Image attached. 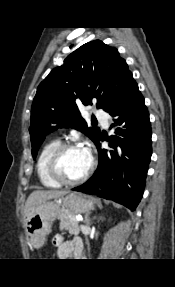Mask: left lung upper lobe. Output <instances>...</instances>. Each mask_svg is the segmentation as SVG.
I'll return each mask as SVG.
<instances>
[{"label":"left lung upper lobe","mask_w":175,"mask_h":287,"mask_svg":"<svg viewBox=\"0 0 175 287\" xmlns=\"http://www.w3.org/2000/svg\"><path fill=\"white\" fill-rule=\"evenodd\" d=\"M135 84L116 48L94 40L72 52L38 86L29 129L33 158L45 136L62 127L79 130L96 144L100 130L87 125L77 105H91L95 100L97 108L111 114L126 101Z\"/></svg>","instance_id":"left-lung-upper-lobe-1"}]
</instances>
